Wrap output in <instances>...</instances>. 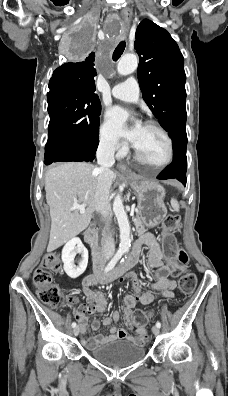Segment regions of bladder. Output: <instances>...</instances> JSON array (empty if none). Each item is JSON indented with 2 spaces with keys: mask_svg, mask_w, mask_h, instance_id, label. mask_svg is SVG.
Wrapping results in <instances>:
<instances>
[{
  "mask_svg": "<svg viewBox=\"0 0 228 396\" xmlns=\"http://www.w3.org/2000/svg\"><path fill=\"white\" fill-rule=\"evenodd\" d=\"M96 361L109 367H126L133 365L146 356L143 344L129 340H112L88 350Z\"/></svg>",
  "mask_w": 228,
  "mask_h": 396,
  "instance_id": "1",
  "label": "bladder"
}]
</instances>
